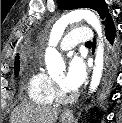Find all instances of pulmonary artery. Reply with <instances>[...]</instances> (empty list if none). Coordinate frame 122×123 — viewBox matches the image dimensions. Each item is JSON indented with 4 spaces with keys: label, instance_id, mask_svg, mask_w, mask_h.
<instances>
[{
    "label": "pulmonary artery",
    "instance_id": "1",
    "mask_svg": "<svg viewBox=\"0 0 122 123\" xmlns=\"http://www.w3.org/2000/svg\"><path fill=\"white\" fill-rule=\"evenodd\" d=\"M92 32L87 27H79L71 30L61 41L60 49L63 51L74 48L79 43L91 41Z\"/></svg>",
    "mask_w": 122,
    "mask_h": 123
}]
</instances>
